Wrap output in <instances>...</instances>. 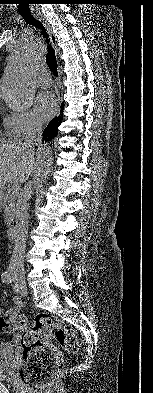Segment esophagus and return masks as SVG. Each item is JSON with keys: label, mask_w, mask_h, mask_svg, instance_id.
<instances>
[{"label": "esophagus", "mask_w": 153, "mask_h": 393, "mask_svg": "<svg viewBox=\"0 0 153 393\" xmlns=\"http://www.w3.org/2000/svg\"><path fill=\"white\" fill-rule=\"evenodd\" d=\"M42 22H43V25H44V27L46 28V30H47V32L49 34V37H50V40H51V43H52L53 47L55 48L56 51H58L57 40H56L55 35L52 32V29H51L50 25L48 23L44 22V21H42Z\"/></svg>", "instance_id": "esophagus-1"}]
</instances>
